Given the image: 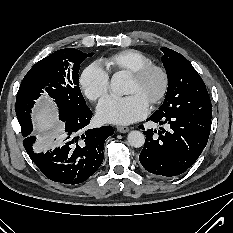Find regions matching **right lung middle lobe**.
Here are the masks:
<instances>
[{
	"instance_id": "1",
	"label": "right lung middle lobe",
	"mask_w": 233,
	"mask_h": 233,
	"mask_svg": "<svg viewBox=\"0 0 233 233\" xmlns=\"http://www.w3.org/2000/svg\"><path fill=\"white\" fill-rule=\"evenodd\" d=\"M92 55L74 48L61 49L40 60L29 70L21 82L15 106L23 137L29 136L33 130L31 108L34 100L43 93L55 100L61 120L88 109L79 88L78 73L83 60ZM55 137L51 136L43 144L52 143Z\"/></svg>"
}]
</instances>
